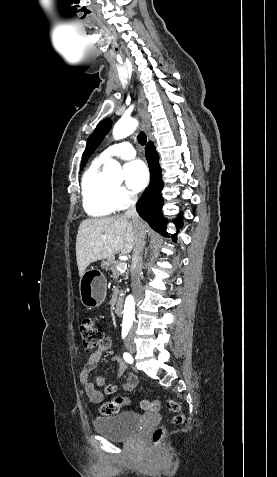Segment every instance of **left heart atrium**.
I'll return each instance as SVG.
<instances>
[{
  "mask_svg": "<svg viewBox=\"0 0 277 477\" xmlns=\"http://www.w3.org/2000/svg\"><path fill=\"white\" fill-rule=\"evenodd\" d=\"M124 173L127 188L137 193L145 188L148 183L149 174L146 165L140 160L128 162L124 166Z\"/></svg>",
  "mask_w": 277,
  "mask_h": 477,
  "instance_id": "obj_1",
  "label": "left heart atrium"
}]
</instances>
